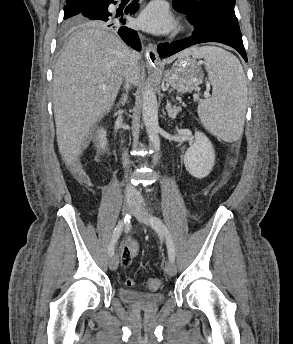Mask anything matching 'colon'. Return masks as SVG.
<instances>
[{
	"label": "colon",
	"mask_w": 293,
	"mask_h": 344,
	"mask_svg": "<svg viewBox=\"0 0 293 344\" xmlns=\"http://www.w3.org/2000/svg\"><path fill=\"white\" fill-rule=\"evenodd\" d=\"M233 161V160H232ZM127 284L128 285H131L132 284V281L131 280H127ZM147 287L148 289L150 290H156L158 289L159 287V281L156 280V279H150L148 282H147Z\"/></svg>",
	"instance_id": "5ec220e1"
}]
</instances>
